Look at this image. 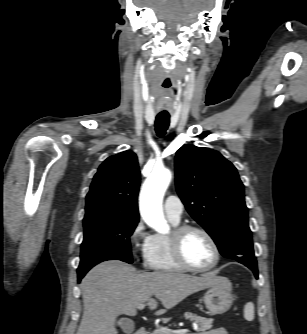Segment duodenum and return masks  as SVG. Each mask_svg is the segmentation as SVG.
I'll list each match as a JSON object with an SVG mask.
<instances>
[{"label": "duodenum", "mask_w": 307, "mask_h": 334, "mask_svg": "<svg viewBox=\"0 0 307 334\" xmlns=\"http://www.w3.org/2000/svg\"><path fill=\"white\" fill-rule=\"evenodd\" d=\"M135 334H147V330H146L145 327H139V328L136 330Z\"/></svg>", "instance_id": "1"}]
</instances>
